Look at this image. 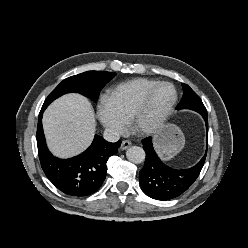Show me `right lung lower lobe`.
Returning a JSON list of instances; mask_svg holds the SVG:
<instances>
[{
    "label": "right lung lower lobe",
    "instance_id": "1",
    "mask_svg": "<svg viewBox=\"0 0 248 248\" xmlns=\"http://www.w3.org/2000/svg\"><path fill=\"white\" fill-rule=\"evenodd\" d=\"M42 106L38 117L37 146L42 169L48 179L63 193L71 196H87L96 192L102 185L108 158L118 152L121 141L109 143L95 135L90 147L82 154L59 159L48 150L42 127Z\"/></svg>",
    "mask_w": 248,
    "mask_h": 248
}]
</instances>
